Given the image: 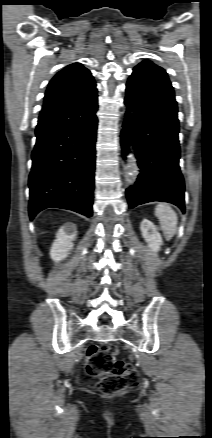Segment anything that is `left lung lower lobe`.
Returning a JSON list of instances; mask_svg holds the SVG:
<instances>
[{"instance_id":"obj_1","label":"left lung lower lobe","mask_w":212,"mask_h":438,"mask_svg":"<svg viewBox=\"0 0 212 438\" xmlns=\"http://www.w3.org/2000/svg\"><path fill=\"white\" fill-rule=\"evenodd\" d=\"M125 104L134 114L123 124V155L130 145L137 153L140 168L134 186L126 190L129 207L163 201L177 205L183 212L184 179L180 172L179 121L173 94L129 80Z\"/></svg>"}]
</instances>
